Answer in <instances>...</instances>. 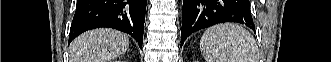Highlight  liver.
Masks as SVG:
<instances>
[{
  "mask_svg": "<svg viewBox=\"0 0 331 62\" xmlns=\"http://www.w3.org/2000/svg\"><path fill=\"white\" fill-rule=\"evenodd\" d=\"M126 34L99 28L78 36L69 46L70 62H110L129 48Z\"/></svg>",
  "mask_w": 331,
  "mask_h": 62,
  "instance_id": "6515ba94",
  "label": "liver"
}]
</instances>
